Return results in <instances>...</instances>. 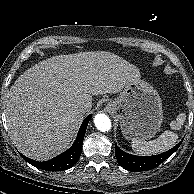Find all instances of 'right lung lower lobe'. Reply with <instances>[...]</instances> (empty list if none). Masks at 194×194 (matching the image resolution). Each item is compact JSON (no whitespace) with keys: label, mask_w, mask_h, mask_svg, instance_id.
<instances>
[{"label":"right lung lower lobe","mask_w":194,"mask_h":194,"mask_svg":"<svg viewBox=\"0 0 194 194\" xmlns=\"http://www.w3.org/2000/svg\"><path fill=\"white\" fill-rule=\"evenodd\" d=\"M91 117L92 115H89L83 121L75 142L67 151L63 152L62 154L52 158L51 160L44 161V162H38L32 159H29L28 157H25L22 154L21 156L28 163L43 170L60 171V170L71 168L80 158L85 131Z\"/></svg>","instance_id":"98d812e1"}]
</instances>
